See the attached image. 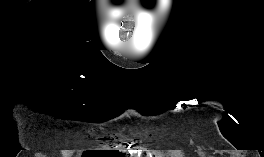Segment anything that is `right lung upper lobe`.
<instances>
[{
    "label": "right lung upper lobe",
    "instance_id": "right-lung-upper-lobe-1",
    "mask_svg": "<svg viewBox=\"0 0 264 157\" xmlns=\"http://www.w3.org/2000/svg\"><path fill=\"white\" fill-rule=\"evenodd\" d=\"M99 156H103V157H124V155L118 151L102 152L99 154Z\"/></svg>",
    "mask_w": 264,
    "mask_h": 157
}]
</instances>
